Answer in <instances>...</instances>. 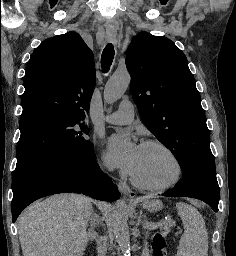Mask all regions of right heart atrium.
<instances>
[{
	"label": "right heart atrium",
	"instance_id": "1",
	"mask_svg": "<svg viewBox=\"0 0 236 256\" xmlns=\"http://www.w3.org/2000/svg\"><path fill=\"white\" fill-rule=\"evenodd\" d=\"M103 165L108 173H112L114 171V166L110 161L104 160Z\"/></svg>",
	"mask_w": 236,
	"mask_h": 256
}]
</instances>
